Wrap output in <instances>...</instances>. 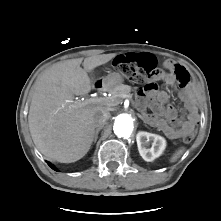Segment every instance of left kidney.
Returning <instances> with one entry per match:
<instances>
[{
	"mask_svg": "<svg viewBox=\"0 0 221 221\" xmlns=\"http://www.w3.org/2000/svg\"><path fill=\"white\" fill-rule=\"evenodd\" d=\"M137 146L141 157L151 162L155 158H158L166 147V140L162 136L141 131L136 137ZM151 142V148H148V144Z\"/></svg>",
	"mask_w": 221,
	"mask_h": 221,
	"instance_id": "obj_1",
	"label": "left kidney"
}]
</instances>
